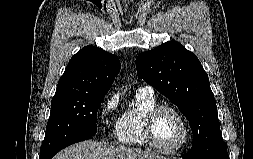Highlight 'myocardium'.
<instances>
[{"label":"myocardium","mask_w":253,"mask_h":159,"mask_svg":"<svg viewBox=\"0 0 253 159\" xmlns=\"http://www.w3.org/2000/svg\"><path fill=\"white\" fill-rule=\"evenodd\" d=\"M163 111H171L175 113L183 125V136L181 141L176 146L170 148L160 146L157 143L154 134V123L157 116ZM142 134L146 144L150 147L162 153L173 154L180 151L187 144L190 136V127L186 117L178 108L167 104H157L147 111L142 124Z\"/></svg>","instance_id":"f54148a6"}]
</instances>
